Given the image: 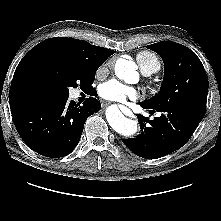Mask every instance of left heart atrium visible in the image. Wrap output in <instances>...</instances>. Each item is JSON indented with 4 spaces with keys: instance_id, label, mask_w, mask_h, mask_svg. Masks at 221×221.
Masks as SVG:
<instances>
[{
    "instance_id": "1",
    "label": "left heart atrium",
    "mask_w": 221,
    "mask_h": 221,
    "mask_svg": "<svg viewBox=\"0 0 221 221\" xmlns=\"http://www.w3.org/2000/svg\"><path fill=\"white\" fill-rule=\"evenodd\" d=\"M99 94L106 100L120 103L126 102L128 99L135 100L139 95L136 89L117 80H109L102 84Z\"/></svg>"
}]
</instances>
